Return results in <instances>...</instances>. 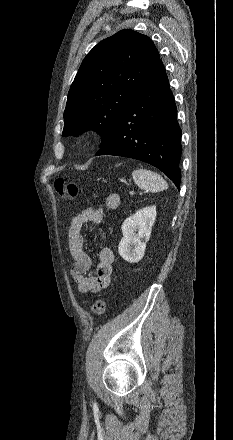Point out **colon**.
I'll use <instances>...</instances> for the list:
<instances>
[{
  "mask_svg": "<svg viewBox=\"0 0 233 440\" xmlns=\"http://www.w3.org/2000/svg\"><path fill=\"white\" fill-rule=\"evenodd\" d=\"M54 188L56 192L63 197L75 198L79 193L77 184L67 181L63 177H58L54 181ZM106 300L98 298L92 305L91 311L95 316H100L105 312Z\"/></svg>",
  "mask_w": 233,
  "mask_h": 440,
  "instance_id": "5ec220e1",
  "label": "colon"
}]
</instances>
